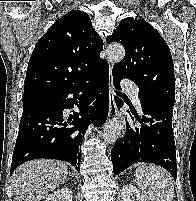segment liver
Here are the masks:
<instances>
[{
	"mask_svg": "<svg viewBox=\"0 0 196 201\" xmlns=\"http://www.w3.org/2000/svg\"><path fill=\"white\" fill-rule=\"evenodd\" d=\"M68 174L63 162L51 159L31 160L20 165L12 174L15 201H41L63 183Z\"/></svg>",
	"mask_w": 196,
	"mask_h": 201,
	"instance_id": "6515ba94",
	"label": "liver"
}]
</instances>
